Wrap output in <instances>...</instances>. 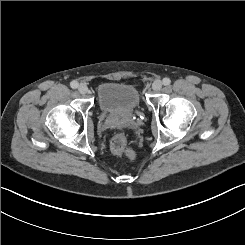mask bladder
I'll return each instance as SVG.
<instances>
[{
  "mask_svg": "<svg viewBox=\"0 0 245 245\" xmlns=\"http://www.w3.org/2000/svg\"><path fill=\"white\" fill-rule=\"evenodd\" d=\"M97 97L101 106L107 110L135 111L141 106L139 94L131 85L100 84Z\"/></svg>",
  "mask_w": 245,
  "mask_h": 245,
  "instance_id": "1",
  "label": "bladder"
}]
</instances>
